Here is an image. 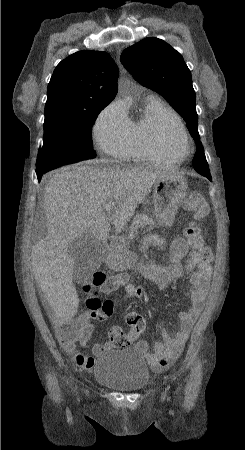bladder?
<instances>
[{"label":"bladder","mask_w":245,"mask_h":450,"mask_svg":"<svg viewBox=\"0 0 245 450\" xmlns=\"http://www.w3.org/2000/svg\"><path fill=\"white\" fill-rule=\"evenodd\" d=\"M98 384L123 393H136L148 385L150 373L135 349L124 347L100 357L94 365Z\"/></svg>","instance_id":"31cf9c89"}]
</instances>
